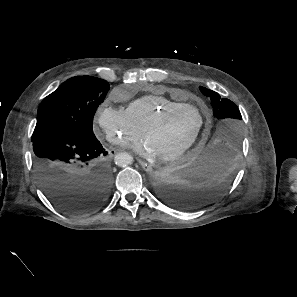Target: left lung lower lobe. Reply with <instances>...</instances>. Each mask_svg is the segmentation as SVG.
<instances>
[{"mask_svg": "<svg viewBox=\"0 0 297 297\" xmlns=\"http://www.w3.org/2000/svg\"><path fill=\"white\" fill-rule=\"evenodd\" d=\"M237 153L208 143L193 149L173 166L154 176L155 189L168 205L183 210L217 200L231 185Z\"/></svg>", "mask_w": 297, "mask_h": 297, "instance_id": "obj_1", "label": "left lung lower lobe"}]
</instances>
